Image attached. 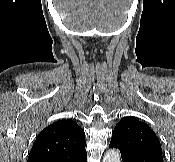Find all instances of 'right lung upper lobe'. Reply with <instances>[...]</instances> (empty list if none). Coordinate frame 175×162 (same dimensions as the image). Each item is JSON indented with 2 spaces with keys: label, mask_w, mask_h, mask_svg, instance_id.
Instances as JSON below:
<instances>
[{
  "label": "right lung upper lobe",
  "mask_w": 175,
  "mask_h": 162,
  "mask_svg": "<svg viewBox=\"0 0 175 162\" xmlns=\"http://www.w3.org/2000/svg\"><path fill=\"white\" fill-rule=\"evenodd\" d=\"M85 133L68 119L46 127L37 137L27 162H75L87 155Z\"/></svg>",
  "instance_id": "right-lung-upper-lobe-1"
}]
</instances>
